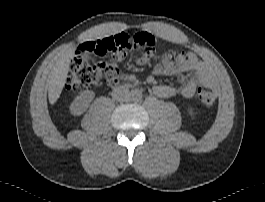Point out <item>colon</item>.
Segmentation results:
<instances>
[{
    "label": "colon",
    "mask_w": 265,
    "mask_h": 202,
    "mask_svg": "<svg viewBox=\"0 0 265 202\" xmlns=\"http://www.w3.org/2000/svg\"><path fill=\"white\" fill-rule=\"evenodd\" d=\"M97 47L102 54L111 53L119 56L124 51L133 50L145 58L154 56L159 50L150 35H132L124 32L102 37L97 40ZM121 74L120 68L112 58L103 60L76 56L70 63L66 89L71 93H80L92 85L117 79ZM217 96V90L213 87H202L198 90V100L204 108L214 107Z\"/></svg>",
    "instance_id": "1"
}]
</instances>
